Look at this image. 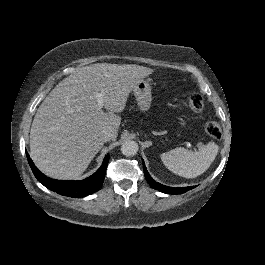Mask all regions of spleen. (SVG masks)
<instances>
[{"mask_svg":"<svg viewBox=\"0 0 265 265\" xmlns=\"http://www.w3.org/2000/svg\"><path fill=\"white\" fill-rule=\"evenodd\" d=\"M197 146L198 151L179 147L162 153L161 160L173 173L185 178H196L210 167L218 153V146L214 143H198Z\"/></svg>","mask_w":265,"mask_h":265,"instance_id":"obj_1","label":"spleen"}]
</instances>
